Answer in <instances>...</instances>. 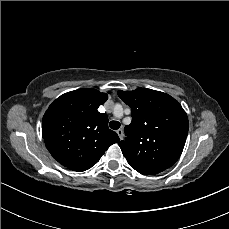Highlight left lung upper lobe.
I'll use <instances>...</instances> for the list:
<instances>
[{
	"instance_id": "5c2ea615",
	"label": "left lung upper lobe",
	"mask_w": 229,
	"mask_h": 229,
	"mask_svg": "<svg viewBox=\"0 0 229 229\" xmlns=\"http://www.w3.org/2000/svg\"><path fill=\"white\" fill-rule=\"evenodd\" d=\"M130 106L132 122L119 143L129 165L141 174L155 175L180 157L188 134L186 112L170 95L152 89L118 91Z\"/></svg>"
}]
</instances>
